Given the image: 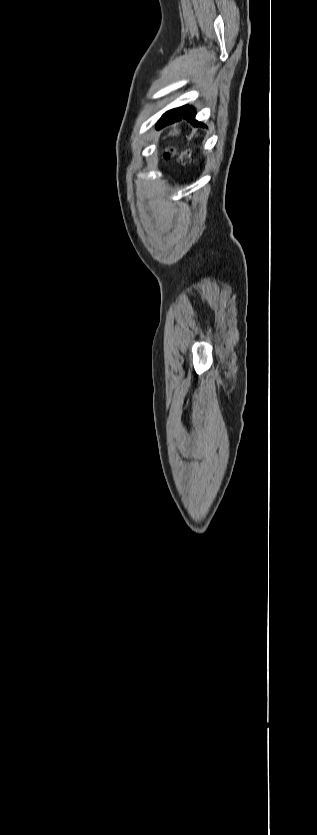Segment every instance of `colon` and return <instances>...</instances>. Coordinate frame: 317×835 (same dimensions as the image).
<instances>
[{"instance_id": "obj_1", "label": "colon", "mask_w": 317, "mask_h": 835, "mask_svg": "<svg viewBox=\"0 0 317 835\" xmlns=\"http://www.w3.org/2000/svg\"><path fill=\"white\" fill-rule=\"evenodd\" d=\"M164 157L166 159L177 158V160L181 163H186L192 158V151L191 150H183L178 152L174 147H167L164 151Z\"/></svg>"}]
</instances>
